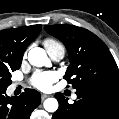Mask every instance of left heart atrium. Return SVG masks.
<instances>
[{
  "mask_svg": "<svg viewBox=\"0 0 119 119\" xmlns=\"http://www.w3.org/2000/svg\"><path fill=\"white\" fill-rule=\"evenodd\" d=\"M57 75L52 71L36 73L32 78L33 85L40 90H49L56 81Z\"/></svg>",
  "mask_w": 119,
  "mask_h": 119,
  "instance_id": "obj_1",
  "label": "left heart atrium"
}]
</instances>
